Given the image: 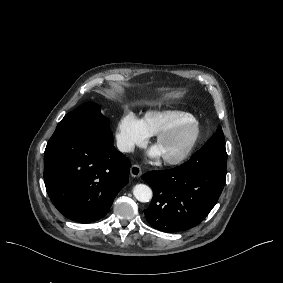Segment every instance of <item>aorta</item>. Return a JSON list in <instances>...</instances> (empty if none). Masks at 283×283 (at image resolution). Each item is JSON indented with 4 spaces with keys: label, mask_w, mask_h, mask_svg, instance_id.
<instances>
[{
    "label": "aorta",
    "mask_w": 283,
    "mask_h": 283,
    "mask_svg": "<svg viewBox=\"0 0 283 283\" xmlns=\"http://www.w3.org/2000/svg\"><path fill=\"white\" fill-rule=\"evenodd\" d=\"M134 197L140 202H149L152 199V190L145 184H137L133 188Z\"/></svg>",
    "instance_id": "aorta-1"
}]
</instances>
